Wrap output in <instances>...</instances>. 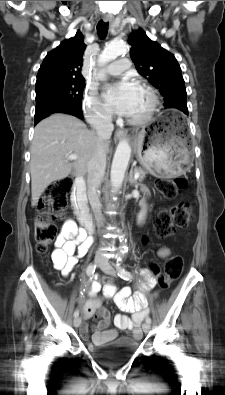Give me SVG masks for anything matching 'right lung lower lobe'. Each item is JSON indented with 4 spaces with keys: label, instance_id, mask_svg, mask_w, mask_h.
<instances>
[{
    "label": "right lung lower lobe",
    "instance_id": "obj_1",
    "mask_svg": "<svg viewBox=\"0 0 225 395\" xmlns=\"http://www.w3.org/2000/svg\"><path fill=\"white\" fill-rule=\"evenodd\" d=\"M59 112L71 114L80 119H83L81 104H60L48 109L46 112H43L38 116H35V124H37L40 120H42L46 116Z\"/></svg>",
    "mask_w": 225,
    "mask_h": 395
}]
</instances>
